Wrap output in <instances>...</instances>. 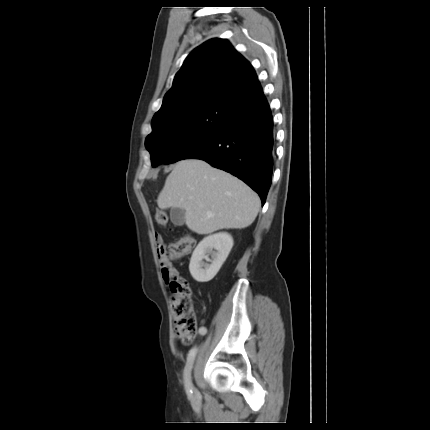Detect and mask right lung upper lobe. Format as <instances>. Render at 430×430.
Masks as SVG:
<instances>
[{"mask_svg": "<svg viewBox=\"0 0 430 430\" xmlns=\"http://www.w3.org/2000/svg\"><path fill=\"white\" fill-rule=\"evenodd\" d=\"M260 91L251 64L227 40L211 39L186 58L152 123L207 101L245 107Z\"/></svg>", "mask_w": 430, "mask_h": 430, "instance_id": "1", "label": "right lung upper lobe"}]
</instances>
